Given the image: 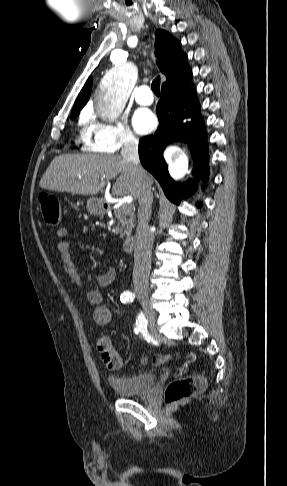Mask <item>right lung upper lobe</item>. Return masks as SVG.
<instances>
[{"label": "right lung upper lobe", "instance_id": "obj_1", "mask_svg": "<svg viewBox=\"0 0 287 486\" xmlns=\"http://www.w3.org/2000/svg\"><path fill=\"white\" fill-rule=\"evenodd\" d=\"M155 54L158 60V67L166 76V82L162 88L174 86L179 82L192 76L191 69L187 64V55L181 50V43L171 34L164 30H157L155 33ZM92 77H90L78 95L72 113H79L80 109L87 103L91 88Z\"/></svg>", "mask_w": 287, "mask_h": 486}]
</instances>
